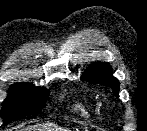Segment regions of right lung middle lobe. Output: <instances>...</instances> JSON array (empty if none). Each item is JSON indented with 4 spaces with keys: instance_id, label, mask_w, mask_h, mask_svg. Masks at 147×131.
Here are the masks:
<instances>
[{
    "instance_id": "right-lung-middle-lobe-1",
    "label": "right lung middle lobe",
    "mask_w": 147,
    "mask_h": 131,
    "mask_svg": "<svg viewBox=\"0 0 147 131\" xmlns=\"http://www.w3.org/2000/svg\"><path fill=\"white\" fill-rule=\"evenodd\" d=\"M49 91L28 84L12 85L2 103L0 116L8 123L18 117L36 114L42 110Z\"/></svg>"
}]
</instances>
